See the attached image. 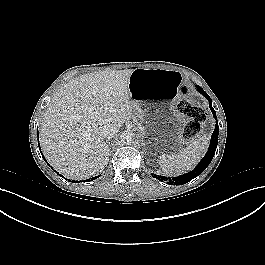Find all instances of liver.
<instances>
[{
	"label": "liver",
	"instance_id": "6515ba94",
	"mask_svg": "<svg viewBox=\"0 0 265 265\" xmlns=\"http://www.w3.org/2000/svg\"><path fill=\"white\" fill-rule=\"evenodd\" d=\"M133 70L90 73L65 84L43 114L40 143L48 162L67 178L102 172L109 146L105 125L120 129L132 113L128 88Z\"/></svg>",
	"mask_w": 265,
	"mask_h": 265
}]
</instances>
